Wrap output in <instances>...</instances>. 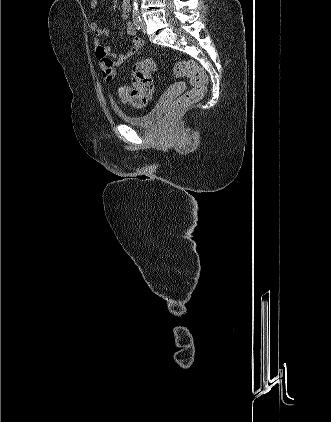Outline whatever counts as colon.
I'll return each instance as SVG.
<instances>
[{"instance_id":"obj_1","label":"colon","mask_w":331,"mask_h":422,"mask_svg":"<svg viewBox=\"0 0 331 422\" xmlns=\"http://www.w3.org/2000/svg\"><path fill=\"white\" fill-rule=\"evenodd\" d=\"M154 70L155 64L149 58L135 63L132 69V87L119 88V94L135 107L146 105L153 92L152 74ZM174 71L178 76L188 77L191 81L192 88L171 104L168 109L170 116L177 115L187 105L200 100L207 88V75L195 61H178L175 64Z\"/></svg>"}]
</instances>
